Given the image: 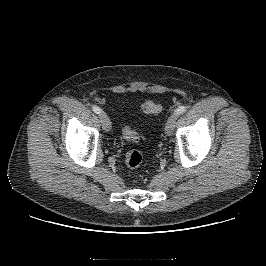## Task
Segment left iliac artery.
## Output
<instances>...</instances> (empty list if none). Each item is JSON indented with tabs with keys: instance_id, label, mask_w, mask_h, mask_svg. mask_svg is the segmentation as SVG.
<instances>
[{
	"instance_id": "1",
	"label": "left iliac artery",
	"mask_w": 266,
	"mask_h": 266,
	"mask_svg": "<svg viewBox=\"0 0 266 266\" xmlns=\"http://www.w3.org/2000/svg\"><path fill=\"white\" fill-rule=\"evenodd\" d=\"M185 111H186V107L180 106L175 110L174 114L180 115V114H183Z\"/></svg>"
}]
</instances>
